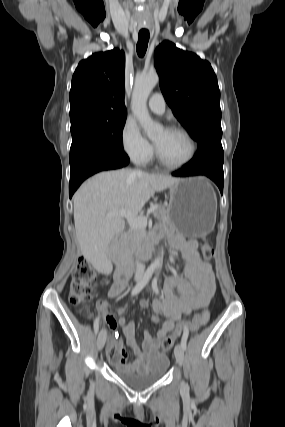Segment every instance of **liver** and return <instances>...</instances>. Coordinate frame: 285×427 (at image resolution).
<instances>
[{"instance_id": "obj_1", "label": "liver", "mask_w": 285, "mask_h": 427, "mask_svg": "<svg viewBox=\"0 0 285 427\" xmlns=\"http://www.w3.org/2000/svg\"><path fill=\"white\" fill-rule=\"evenodd\" d=\"M180 179L121 169L101 172L84 182L73 197L74 223L81 253L96 269L105 267L112 238L125 227L123 217L107 213L125 209L138 213L155 194Z\"/></svg>"}]
</instances>
